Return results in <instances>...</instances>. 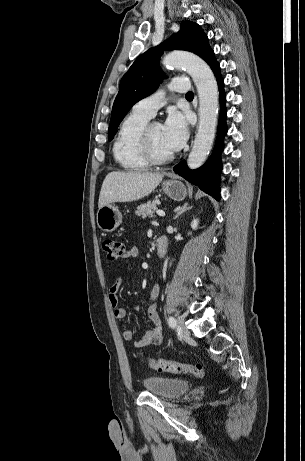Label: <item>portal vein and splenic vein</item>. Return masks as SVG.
Returning <instances> with one entry per match:
<instances>
[{"label":"portal vein and splenic vein","instance_id":"1","mask_svg":"<svg viewBox=\"0 0 305 461\" xmlns=\"http://www.w3.org/2000/svg\"><path fill=\"white\" fill-rule=\"evenodd\" d=\"M156 214H157L158 216H160V217H164V216H165V212L162 211V210H157V211H156Z\"/></svg>","mask_w":305,"mask_h":461}]
</instances>
